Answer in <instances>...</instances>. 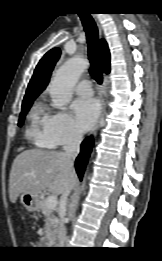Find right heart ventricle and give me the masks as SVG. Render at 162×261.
<instances>
[{"mask_svg": "<svg viewBox=\"0 0 162 261\" xmlns=\"http://www.w3.org/2000/svg\"><path fill=\"white\" fill-rule=\"evenodd\" d=\"M47 117L44 106L41 103H37L31 110L29 115L30 127L28 134L36 140V142L42 147H51V145L43 138L40 127Z\"/></svg>", "mask_w": 162, "mask_h": 261, "instance_id": "e07e8e85", "label": "right heart ventricle"}]
</instances>
